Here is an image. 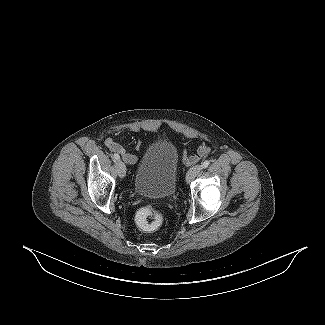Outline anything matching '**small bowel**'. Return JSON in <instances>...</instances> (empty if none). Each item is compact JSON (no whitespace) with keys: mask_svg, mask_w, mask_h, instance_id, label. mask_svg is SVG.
Masks as SVG:
<instances>
[{"mask_svg":"<svg viewBox=\"0 0 325 325\" xmlns=\"http://www.w3.org/2000/svg\"><path fill=\"white\" fill-rule=\"evenodd\" d=\"M105 146L110 151L115 152L116 154H120L127 164H135L137 162L136 155L126 152L122 145L113 140L112 138H108L105 140ZM137 148H140V144L137 145ZM208 152L209 149L206 146H201L198 149L197 154L194 155H188L185 151H183V159L186 164L191 165L197 162L201 157L207 155Z\"/></svg>","mask_w":325,"mask_h":325,"instance_id":"1","label":"small bowel"}]
</instances>
